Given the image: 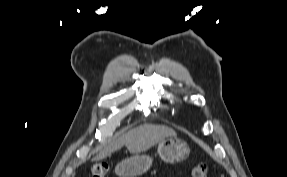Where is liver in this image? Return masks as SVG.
Returning a JSON list of instances; mask_svg holds the SVG:
<instances>
[{
    "mask_svg": "<svg viewBox=\"0 0 287 177\" xmlns=\"http://www.w3.org/2000/svg\"><path fill=\"white\" fill-rule=\"evenodd\" d=\"M176 135V132L167 126L143 124L128 131L126 134L104 147L93 160H102L110 156L114 151L122 148L124 145L130 153L144 152L155 144L163 141L165 138L176 137Z\"/></svg>",
    "mask_w": 287,
    "mask_h": 177,
    "instance_id": "liver-1",
    "label": "liver"
}]
</instances>
